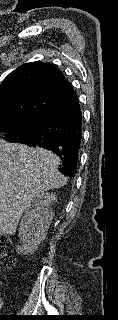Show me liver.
<instances>
[{
    "instance_id": "6515ba94",
    "label": "liver",
    "mask_w": 118,
    "mask_h": 320,
    "mask_svg": "<svg viewBox=\"0 0 118 320\" xmlns=\"http://www.w3.org/2000/svg\"><path fill=\"white\" fill-rule=\"evenodd\" d=\"M60 162L49 150L0 139V227H12L40 194L66 184Z\"/></svg>"
}]
</instances>
